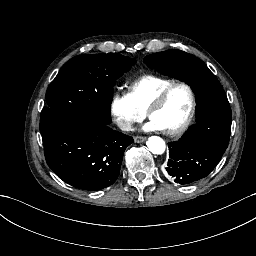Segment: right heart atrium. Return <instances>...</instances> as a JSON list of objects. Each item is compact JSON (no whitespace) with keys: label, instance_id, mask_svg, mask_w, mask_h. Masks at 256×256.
Segmentation results:
<instances>
[{"label":"right heart atrium","instance_id":"1","mask_svg":"<svg viewBox=\"0 0 256 256\" xmlns=\"http://www.w3.org/2000/svg\"><path fill=\"white\" fill-rule=\"evenodd\" d=\"M130 98V95H127L125 99H129ZM143 112L141 110H136L134 111L130 117L128 118V121L129 122H141L142 119H143Z\"/></svg>","mask_w":256,"mask_h":256}]
</instances>
